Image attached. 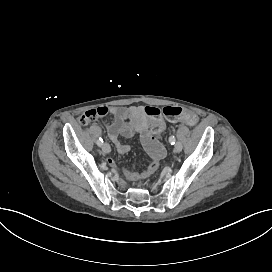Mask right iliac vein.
<instances>
[{"mask_svg": "<svg viewBox=\"0 0 272 272\" xmlns=\"http://www.w3.org/2000/svg\"><path fill=\"white\" fill-rule=\"evenodd\" d=\"M101 147L105 153H109L111 151L110 145L108 143H102Z\"/></svg>", "mask_w": 272, "mask_h": 272, "instance_id": "63e3f726", "label": "right iliac vein"}]
</instances>
